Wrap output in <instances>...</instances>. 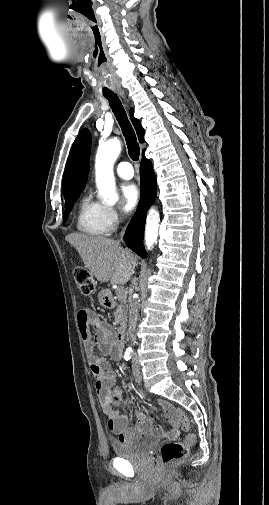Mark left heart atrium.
Instances as JSON below:
<instances>
[{"instance_id":"1","label":"left heart atrium","mask_w":269,"mask_h":505,"mask_svg":"<svg viewBox=\"0 0 269 505\" xmlns=\"http://www.w3.org/2000/svg\"><path fill=\"white\" fill-rule=\"evenodd\" d=\"M140 191L136 184L125 183L121 188L122 209L125 212H131L138 204Z\"/></svg>"}]
</instances>
